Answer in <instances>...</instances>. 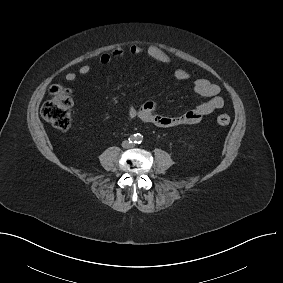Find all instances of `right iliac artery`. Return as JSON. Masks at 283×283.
Wrapping results in <instances>:
<instances>
[{"mask_svg": "<svg viewBox=\"0 0 283 283\" xmlns=\"http://www.w3.org/2000/svg\"><path fill=\"white\" fill-rule=\"evenodd\" d=\"M129 142H130V143H136V142H137V137H136V135L130 136V137H129Z\"/></svg>", "mask_w": 283, "mask_h": 283, "instance_id": "82829eb1", "label": "right iliac artery"}]
</instances>
